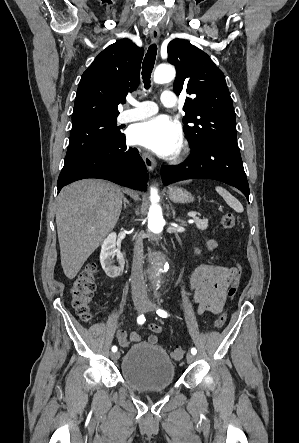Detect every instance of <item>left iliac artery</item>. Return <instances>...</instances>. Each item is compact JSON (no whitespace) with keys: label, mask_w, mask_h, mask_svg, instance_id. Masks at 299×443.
Masks as SVG:
<instances>
[{"label":"left iliac artery","mask_w":299,"mask_h":443,"mask_svg":"<svg viewBox=\"0 0 299 443\" xmlns=\"http://www.w3.org/2000/svg\"><path fill=\"white\" fill-rule=\"evenodd\" d=\"M156 313L160 316V317H162V318H167L168 316H169V314L166 312V311H164V310H162V309H158L157 311H156ZM191 353L193 354V355H196V353H197V350H196V348H191Z\"/></svg>","instance_id":"left-iliac-artery-1"}]
</instances>
